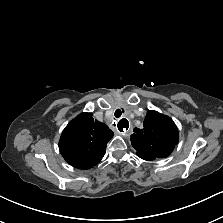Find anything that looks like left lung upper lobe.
<instances>
[{
    "label": "left lung upper lobe",
    "mask_w": 223,
    "mask_h": 223,
    "mask_svg": "<svg viewBox=\"0 0 223 223\" xmlns=\"http://www.w3.org/2000/svg\"><path fill=\"white\" fill-rule=\"evenodd\" d=\"M131 144L144 160L169 156L178 143V129L173 120L157 111L149 110L143 128H134Z\"/></svg>",
    "instance_id": "1"
}]
</instances>
